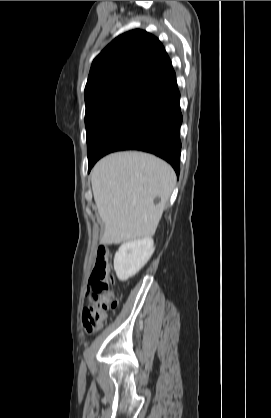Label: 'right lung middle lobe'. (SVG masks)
<instances>
[{
    "mask_svg": "<svg viewBox=\"0 0 271 418\" xmlns=\"http://www.w3.org/2000/svg\"><path fill=\"white\" fill-rule=\"evenodd\" d=\"M151 103L142 98L123 95L86 106L88 166L96 160L107 141Z\"/></svg>",
    "mask_w": 271,
    "mask_h": 418,
    "instance_id": "right-lung-middle-lobe-1",
    "label": "right lung middle lobe"
}]
</instances>
